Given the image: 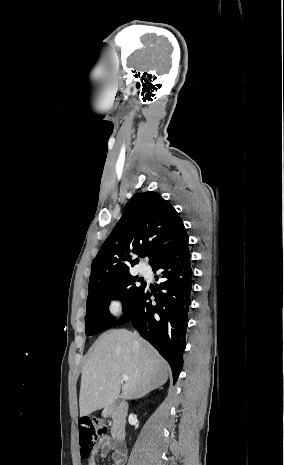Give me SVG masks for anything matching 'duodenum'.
I'll return each instance as SVG.
<instances>
[{"label":"duodenum","mask_w":284,"mask_h":465,"mask_svg":"<svg viewBox=\"0 0 284 465\" xmlns=\"http://www.w3.org/2000/svg\"><path fill=\"white\" fill-rule=\"evenodd\" d=\"M105 414L112 418L111 437L114 441H121L125 433V423L128 410L125 402L113 405Z\"/></svg>","instance_id":"410a0bca"}]
</instances>
